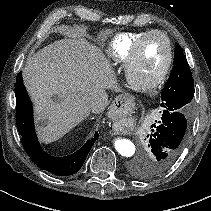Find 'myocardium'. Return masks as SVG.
<instances>
[{"mask_svg": "<svg viewBox=\"0 0 211 211\" xmlns=\"http://www.w3.org/2000/svg\"><path fill=\"white\" fill-rule=\"evenodd\" d=\"M153 35H160L167 45V58L158 75L148 84H139L135 81L133 72L140 57L141 48L146 39ZM173 61V47L169 37L162 31L151 30L141 36L133 46L131 55L125 65V76L132 89L141 93H150L157 89L167 77Z\"/></svg>", "mask_w": 211, "mask_h": 211, "instance_id": "obj_1", "label": "myocardium"}]
</instances>
